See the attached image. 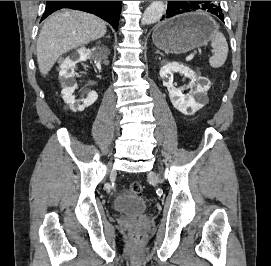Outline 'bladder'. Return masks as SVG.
<instances>
[{
  "instance_id": "1",
  "label": "bladder",
  "mask_w": 271,
  "mask_h": 266,
  "mask_svg": "<svg viewBox=\"0 0 271 266\" xmlns=\"http://www.w3.org/2000/svg\"><path fill=\"white\" fill-rule=\"evenodd\" d=\"M112 209L116 213L133 218L144 213L147 210V204L140 197L124 193L113 202Z\"/></svg>"
}]
</instances>
